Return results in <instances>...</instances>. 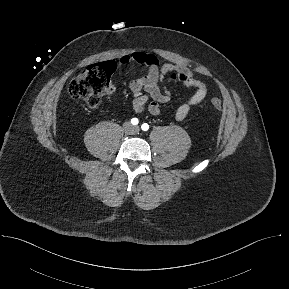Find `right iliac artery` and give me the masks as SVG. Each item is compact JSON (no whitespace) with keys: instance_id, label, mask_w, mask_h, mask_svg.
Here are the masks:
<instances>
[{"instance_id":"obj_1","label":"right iliac artery","mask_w":289,"mask_h":289,"mask_svg":"<svg viewBox=\"0 0 289 289\" xmlns=\"http://www.w3.org/2000/svg\"><path fill=\"white\" fill-rule=\"evenodd\" d=\"M131 123H132L133 125H137V124L139 123V120H138L137 118H132V119H131Z\"/></svg>"}]
</instances>
